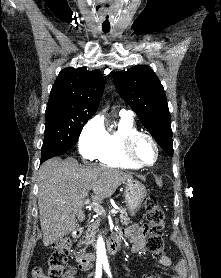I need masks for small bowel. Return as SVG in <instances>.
<instances>
[{
	"label": "small bowel",
	"instance_id": "1",
	"mask_svg": "<svg viewBox=\"0 0 221 278\" xmlns=\"http://www.w3.org/2000/svg\"><path fill=\"white\" fill-rule=\"evenodd\" d=\"M126 235L132 240V252L135 254H142L145 251V236L147 229L144 226L133 225L125 230ZM158 264L162 268H167L171 265V259L162 255ZM78 269L76 267L69 268L66 278H75ZM145 278H155L154 276H146ZM172 278H186V267L183 261H180L176 265V272Z\"/></svg>",
	"mask_w": 221,
	"mask_h": 278
}]
</instances>
